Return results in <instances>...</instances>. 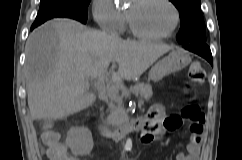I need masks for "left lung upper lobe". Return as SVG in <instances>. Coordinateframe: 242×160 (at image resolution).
Here are the masks:
<instances>
[{
  "label": "left lung upper lobe",
  "mask_w": 242,
  "mask_h": 160,
  "mask_svg": "<svg viewBox=\"0 0 242 160\" xmlns=\"http://www.w3.org/2000/svg\"><path fill=\"white\" fill-rule=\"evenodd\" d=\"M180 12L181 27L177 35L180 44L206 42L205 24L200 0H170Z\"/></svg>",
  "instance_id": "obj_1"
}]
</instances>
